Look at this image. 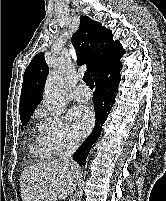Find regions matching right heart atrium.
I'll return each instance as SVG.
<instances>
[{"label":"right heart atrium","instance_id":"1","mask_svg":"<svg viewBox=\"0 0 166 201\" xmlns=\"http://www.w3.org/2000/svg\"><path fill=\"white\" fill-rule=\"evenodd\" d=\"M37 114L43 120L42 131L44 138L55 154L74 148L78 144L63 116L49 114L43 110Z\"/></svg>","mask_w":166,"mask_h":201}]
</instances>
